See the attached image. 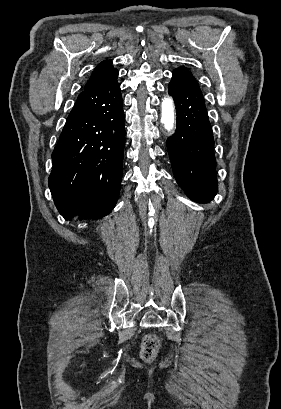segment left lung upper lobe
Segmentation results:
<instances>
[{"mask_svg": "<svg viewBox=\"0 0 281 409\" xmlns=\"http://www.w3.org/2000/svg\"><path fill=\"white\" fill-rule=\"evenodd\" d=\"M177 69H181V70L187 72L189 75H191V73H190L187 69H185V68H177ZM191 76H192V75H191Z\"/></svg>", "mask_w": 281, "mask_h": 409, "instance_id": "1", "label": "left lung upper lobe"}]
</instances>
